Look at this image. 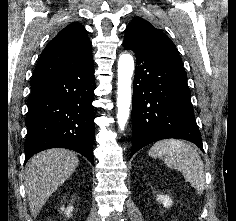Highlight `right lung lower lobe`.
I'll use <instances>...</instances> for the list:
<instances>
[{
  "label": "right lung lower lobe",
  "instance_id": "98d812e1",
  "mask_svg": "<svg viewBox=\"0 0 236 221\" xmlns=\"http://www.w3.org/2000/svg\"><path fill=\"white\" fill-rule=\"evenodd\" d=\"M94 66L31 81L25 162L49 148L79 152L92 164Z\"/></svg>",
  "mask_w": 236,
  "mask_h": 221
}]
</instances>
